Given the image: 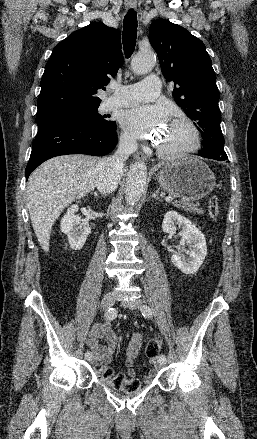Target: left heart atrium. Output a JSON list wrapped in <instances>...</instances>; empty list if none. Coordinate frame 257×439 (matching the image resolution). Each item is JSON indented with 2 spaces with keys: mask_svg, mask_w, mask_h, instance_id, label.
I'll list each match as a JSON object with an SVG mask.
<instances>
[{
  "mask_svg": "<svg viewBox=\"0 0 257 439\" xmlns=\"http://www.w3.org/2000/svg\"><path fill=\"white\" fill-rule=\"evenodd\" d=\"M167 120L162 106H139L125 110L120 117L122 126L133 136L147 138L158 133Z\"/></svg>",
  "mask_w": 257,
  "mask_h": 439,
  "instance_id": "39dd6f15",
  "label": "left heart atrium"
}]
</instances>
